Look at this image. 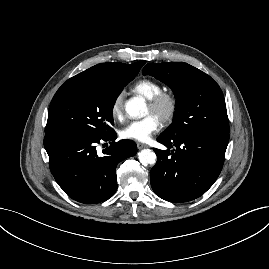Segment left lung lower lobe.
Listing matches in <instances>:
<instances>
[{"label":"left lung lower lobe","mask_w":269,"mask_h":269,"mask_svg":"<svg viewBox=\"0 0 269 269\" xmlns=\"http://www.w3.org/2000/svg\"><path fill=\"white\" fill-rule=\"evenodd\" d=\"M157 141L168 149H153L158 159L150 173L152 189L166 201L182 203L200 197L216 181L229 133L195 131L172 139L159 136Z\"/></svg>","instance_id":"1"}]
</instances>
